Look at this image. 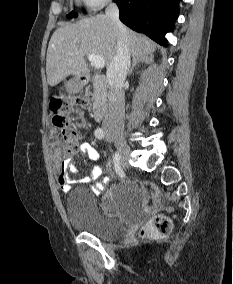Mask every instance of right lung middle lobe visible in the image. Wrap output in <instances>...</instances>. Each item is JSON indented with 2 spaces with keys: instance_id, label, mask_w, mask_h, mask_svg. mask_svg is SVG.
<instances>
[{
  "instance_id": "right-lung-middle-lobe-1",
  "label": "right lung middle lobe",
  "mask_w": 233,
  "mask_h": 284,
  "mask_svg": "<svg viewBox=\"0 0 233 284\" xmlns=\"http://www.w3.org/2000/svg\"><path fill=\"white\" fill-rule=\"evenodd\" d=\"M67 17L72 18V17H76V15L73 12H71L69 15H67Z\"/></svg>"
}]
</instances>
